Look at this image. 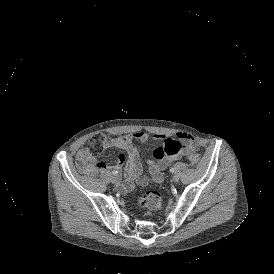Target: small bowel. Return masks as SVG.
Wrapping results in <instances>:
<instances>
[{
	"label": "small bowel",
	"mask_w": 274,
	"mask_h": 274,
	"mask_svg": "<svg viewBox=\"0 0 274 274\" xmlns=\"http://www.w3.org/2000/svg\"><path fill=\"white\" fill-rule=\"evenodd\" d=\"M178 138L186 143V154L196 153L199 147L198 142L186 133H178ZM151 135L144 131H136L131 135L116 136L107 135L105 137V148H119L126 153L119 154L117 158V167L125 165V182L120 185L124 191H131L135 183L140 186H146L150 182L160 183L163 181L162 171L167 165H172L183 156V148L179 142L165 141L160 144L155 151V161H148V175H141V163L139 151L133 140L139 143H146ZM156 140L163 138L162 135H154ZM77 164L79 169L85 174H95L108 170L105 162L97 161L86 149H81L77 153Z\"/></svg>",
	"instance_id": "obj_1"
}]
</instances>
